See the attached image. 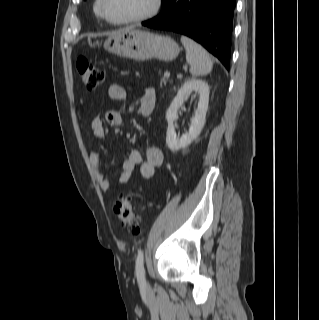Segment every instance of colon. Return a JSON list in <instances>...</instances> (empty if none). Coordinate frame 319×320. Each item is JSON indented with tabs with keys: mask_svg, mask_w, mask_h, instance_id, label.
<instances>
[{
	"mask_svg": "<svg viewBox=\"0 0 319 320\" xmlns=\"http://www.w3.org/2000/svg\"><path fill=\"white\" fill-rule=\"evenodd\" d=\"M77 69L88 89H95L104 82V73L84 57L78 58ZM114 212L122 227L130 234L136 235L140 232L141 218L131 196H120L115 202Z\"/></svg>",
	"mask_w": 319,
	"mask_h": 320,
	"instance_id": "colon-1",
	"label": "colon"
}]
</instances>
